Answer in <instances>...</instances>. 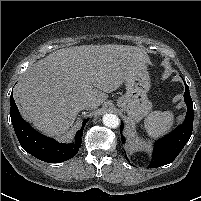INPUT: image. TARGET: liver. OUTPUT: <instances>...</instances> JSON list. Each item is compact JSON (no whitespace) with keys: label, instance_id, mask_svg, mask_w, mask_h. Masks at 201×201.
I'll return each instance as SVG.
<instances>
[{"label":"liver","instance_id":"obj_1","mask_svg":"<svg viewBox=\"0 0 201 201\" xmlns=\"http://www.w3.org/2000/svg\"><path fill=\"white\" fill-rule=\"evenodd\" d=\"M151 64L146 51L129 45H83L57 50L25 72L15 90L21 113L49 136L59 137L73 125L78 104L99 107L127 74ZM91 108V109H93Z\"/></svg>","mask_w":201,"mask_h":201}]
</instances>
